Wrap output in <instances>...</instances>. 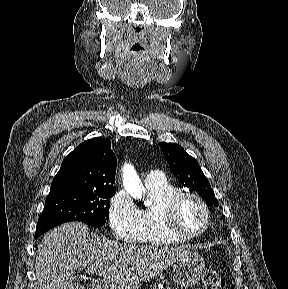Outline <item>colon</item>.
<instances>
[{
  "label": "colon",
  "mask_w": 288,
  "mask_h": 289,
  "mask_svg": "<svg viewBox=\"0 0 288 289\" xmlns=\"http://www.w3.org/2000/svg\"><path fill=\"white\" fill-rule=\"evenodd\" d=\"M203 281L206 289H225L224 279L215 270H206Z\"/></svg>",
  "instance_id": "obj_1"
}]
</instances>
